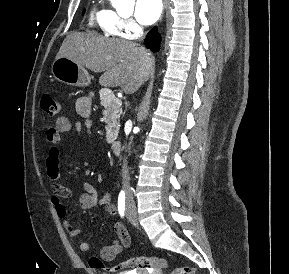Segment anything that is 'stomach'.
Instances as JSON below:
<instances>
[{
  "instance_id": "1",
  "label": "stomach",
  "mask_w": 289,
  "mask_h": 274,
  "mask_svg": "<svg viewBox=\"0 0 289 274\" xmlns=\"http://www.w3.org/2000/svg\"><path fill=\"white\" fill-rule=\"evenodd\" d=\"M51 73L58 81L78 87L90 85V76L86 69L66 57L56 58L51 66Z\"/></svg>"
}]
</instances>
